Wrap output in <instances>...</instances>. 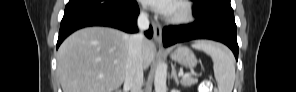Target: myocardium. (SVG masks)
I'll return each mask as SVG.
<instances>
[{
    "label": "myocardium",
    "mask_w": 296,
    "mask_h": 92,
    "mask_svg": "<svg viewBox=\"0 0 296 92\" xmlns=\"http://www.w3.org/2000/svg\"><path fill=\"white\" fill-rule=\"evenodd\" d=\"M193 19V9L186 1H177L175 11L168 18V21L174 24H182Z\"/></svg>",
    "instance_id": "f54148a6"
}]
</instances>
